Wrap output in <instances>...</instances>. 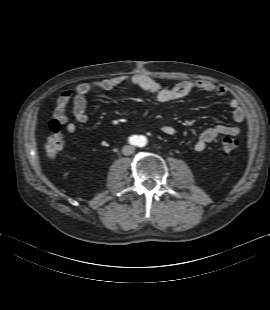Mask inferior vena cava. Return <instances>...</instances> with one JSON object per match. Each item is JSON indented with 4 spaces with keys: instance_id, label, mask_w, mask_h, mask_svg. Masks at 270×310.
<instances>
[{
    "instance_id": "inferior-vena-cava-1",
    "label": "inferior vena cava",
    "mask_w": 270,
    "mask_h": 310,
    "mask_svg": "<svg viewBox=\"0 0 270 310\" xmlns=\"http://www.w3.org/2000/svg\"><path fill=\"white\" fill-rule=\"evenodd\" d=\"M135 148L130 145H126L123 147L122 152L124 155H130L134 152Z\"/></svg>"
}]
</instances>
